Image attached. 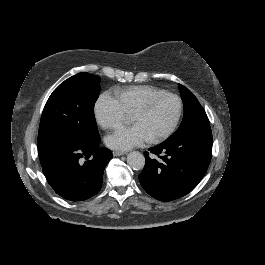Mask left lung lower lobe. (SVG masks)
<instances>
[{
	"instance_id": "0a47b994",
	"label": "left lung lower lobe",
	"mask_w": 265,
	"mask_h": 265,
	"mask_svg": "<svg viewBox=\"0 0 265 265\" xmlns=\"http://www.w3.org/2000/svg\"><path fill=\"white\" fill-rule=\"evenodd\" d=\"M145 152V167L139 175L144 190L160 201L178 199L191 192L201 181L212 156L211 128L197 129L180 137L167 139Z\"/></svg>"
}]
</instances>
